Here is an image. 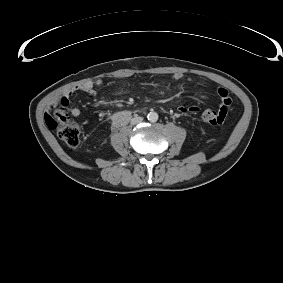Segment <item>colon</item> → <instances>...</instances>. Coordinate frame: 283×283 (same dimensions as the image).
Instances as JSON below:
<instances>
[{
    "mask_svg": "<svg viewBox=\"0 0 283 283\" xmlns=\"http://www.w3.org/2000/svg\"><path fill=\"white\" fill-rule=\"evenodd\" d=\"M68 111V100L63 98L58 107L52 108L46 114L45 123L68 146L76 147L81 142V130L79 125L70 119ZM226 115V109L214 110L208 108L203 112L202 117L209 124L219 125L225 121Z\"/></svg>",
    "mask_w": 283,
    "mask_h": 283,
    "instance_id": "1",
    "label": "colon"
}]
</instances>
